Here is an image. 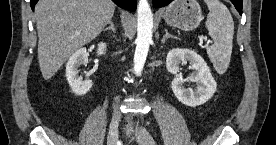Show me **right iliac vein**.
Returning a JSON list of instances; mask_svg holds the SVG:
<instances>
[{
	"label": "right iliac vein",
	"instance_id": "obj_1",
	"mask_svg": "<svg viewBox=\"0 0 276 145\" xmlns=\"http://www.w3.org/2000/svg\"><path fill=\"white\" fill-rule=\"evenodd\" d=\"M121 118L119 116H114L111 120L110 126H109V132H108V138H107V144L108 145H116L118 141V127L120 123Z\"/></svg>",
	"mask_w": 276,
	"mask_h": 145
}]
</instances>
